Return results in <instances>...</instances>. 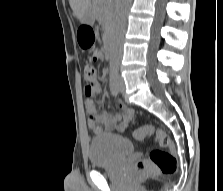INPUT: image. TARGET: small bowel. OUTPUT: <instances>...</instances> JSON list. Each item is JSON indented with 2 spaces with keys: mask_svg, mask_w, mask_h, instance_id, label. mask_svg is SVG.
Returning <instances> with one entry per match:
<instances>
[{
  "mask_svg": "<svg viewBox=\"0 0 223 191\" xmlns=\"http://www.w3.org/2000/svg\"><path fill=\"white\" fill-rule=\"evenodd\" d=\"M103 58V55H99ZM102 86L99 82H94L85 86V95L88 97L84 103L87 112V124L91 131L96 134H102L105 131H123L126 129L134 116V110L125 106L123 103H118L121 113L109 115L97 108L93 96L100 94ZM104 126V129L102 126Z\"/></svg>",
  "mask_w": 223,
  "mask_h": 191,
  "instance_id": "obj_1",
  "label": "small bowel"
}]
</instances>
